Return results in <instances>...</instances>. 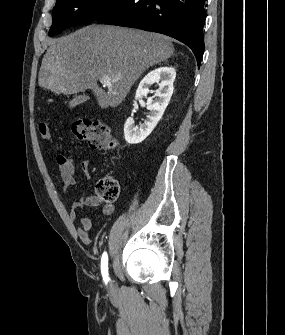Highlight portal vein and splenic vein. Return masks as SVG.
Masks as SVG:
<instances>
[{"label": "portal vein and splenic vein", "mask_w": 285, "mask_h": 335, "mask_svg": "<svg viewBox=\"0 0 285 335\" xmlns=\"http://www.w3.org/2000/svg\"><path fill=\"white\" fill-rule=\"evenodd\" d=\"M120 78L121 74H117V76H101L100 82L103 86H108V84H111V82H117Z\"/></svg>", "instance_id": "18ae733b"}]
</instances>
